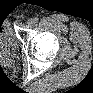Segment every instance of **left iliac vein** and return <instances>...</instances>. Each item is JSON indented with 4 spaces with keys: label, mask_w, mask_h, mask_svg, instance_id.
Returning a JSON list of instances; mask_svg holds the SVG:
<instances>
[{
    "label": "left iliac vein",
    "mask_w": 93,
    "mask_h": 93,
    "mask_svg": "<svg viewBox=\"0 0 93 93\" xmlns=\"http://www.w3.org/2000/svg\"><path fill=\"white\" fill-rule=\"evenodd\" d=\"M27 23H28L29 25H32V24L34 23V20L30 18V19H28Z\"/></svg>",
    "instance_id": "obj_1"
}]
</instances>
